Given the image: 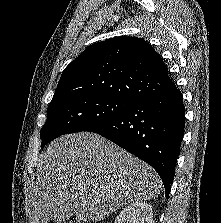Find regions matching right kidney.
<instances>
[{
  "label": "right kidney",
  "instance_id": "obj_1",
  "mask_svg": "<svg viewBox=\"0 0 221 223\" xmlns=\"http://www.w3.org/2000/svg\"><path fill=\"white\" fill-rule=\"evenodd\" d=\"M152 207L142 201L126 206L116 217L114 223H152Z\"/></svg>",
  "mask_w": 221,
  "mask_h": 223
}]
</instances>
